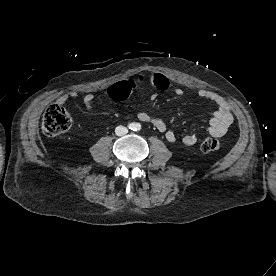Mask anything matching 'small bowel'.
I'll return each instance as SVG.
<instances>
[{
  "label": "small bowel",
  "instance_id": "obj_1",
  "mask_svg": "<svg viewBox=\"0 0 276 276\" xmlns=\"http://www.w3.org/2000/svg\"><path fill=\"white\" fill-rule=\"evenodd\" d=\"M148 82L152 87L158 90H166L169 88L168 79L159 72H151L149 74L140 73L135 78L116 83L108 91V95L116 100H121L135 91L140 85ZM176 95H182L183 89L180 87L174 88ZM197 94L201 98L208 99L215 103L216 110L214 111L207 128V132L214 137L224 136L230 125L233 123V115L231 113L230 105L218 93L206 89H198ZM77 93L70 91L60 95L56 102L64 104L67 101L76 98ZM95 97L92 93H88L83 97V104L87 108H91L94 103ZM138 119L142 122L151 124L160 133L164 134L165 139L169 143H174L177 140L176 134L168 129L166 123L158 118L149 115L146 112H140L137 115ZM183 144L192 146L197 142V137L194 134H186L182 138Z\"/></svg>",
  "mask_w": 276,
  "mask_h": 276
}]
</instances>
